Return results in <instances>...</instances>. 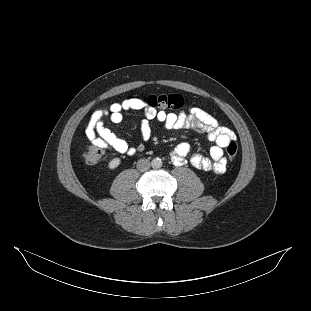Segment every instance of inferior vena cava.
Instances as JSON below:
<instances>
[{"label":"inferior vena cava","mask_w":311,"mask_h":311,"mask_svg":"<svg viewBox=\"0 0 311 311\" xmlns=\"http://www.w3.org/2000/svg\"><path fill=\"white\" fill-rule=\"evenodd\" d=\"M136 166L139 171L144 172L150 168L151 163L148 159L142 158L137 161Z\"/></svg>","instance_id":"obj_1"}]
</instances>
